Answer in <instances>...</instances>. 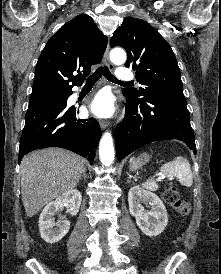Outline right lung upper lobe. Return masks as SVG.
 Masks as SVG:
<instances>
[{
    "label": "right lung upper lobe",
    "mask_w": 221,
    "mask_h": 274,
    "mask_svg": "<svg viewBox=\"0 0 221 274\" xmlns=\"http://www.w3.org/2000/svg\"><path fill=\"white\" fill-rule=\"evenodd\" d=\"M107 43V37L86 14L65 23L38 59L30 101L67 95L73 86H80L90 67L101 61Z\"/></svg>",
    "instance_id": "1"
}]
</instances>
